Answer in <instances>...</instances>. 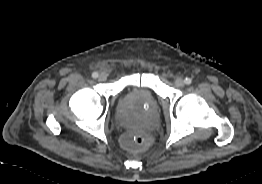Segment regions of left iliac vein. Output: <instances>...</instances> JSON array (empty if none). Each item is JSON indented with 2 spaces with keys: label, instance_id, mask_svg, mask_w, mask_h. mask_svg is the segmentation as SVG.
Returning a JSON list of instances; mask_svg holds the SVG:
<instances>
[{
  "label": "left iliac vein",
  "instance_id": "4c4485c4",
  "mask_svg": "<svg viewBox=\"0 0 262 184\" xmlns=\"http://www.w3.org/2000/svg\"><path fill=\"white\" fill-rule=\"evenodd\" d=\"M174 83L177 87H182L184 85V80L182 78L178 77V78L175 79Z\"/></svg>",
  "mask_w": 262,
  "mask_h": 184
}]
</instances>
